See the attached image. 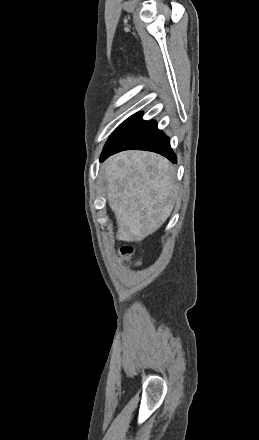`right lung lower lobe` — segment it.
I'll return each mask as SVG.
<instances>
[{"mask_svg":"<svg viewBox=\"0 0 259 440\" xmlns=\"http://www.w3.org/2000/svg\"><path fill=\"white\" fill-rule=\"evenodd\" d=\"M128 149L153 151L177 162L169 138L157 128L156 121L142 120V112L129 117L112 133L102 151L101 161Z\"/></svg>","mask_w":259,"mask_h":440,"instance_id":"obj_1","label":"right lung lower lobe"}]
</instances>
